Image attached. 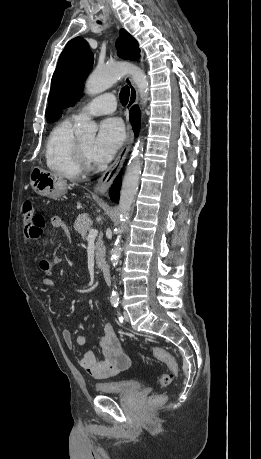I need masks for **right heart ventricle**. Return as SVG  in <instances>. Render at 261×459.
Returning <instances> with one entry per match:
<instances>
[{"label":"right heart ventricle","instance_id":"1","mask_svg":"<svg viewBox=\"0 0 261 459\" xmlns=\"http://www.w3.org/2000/svg\"><path fill=\"white\" fill-rule=\"evenodd\" d=\"M74 120L67 118L57 123L45 143L47 167L66 178H77L81 167L75 151Z\"/></svg>","mask_w":261,"mask_h":459}]
</instances>
